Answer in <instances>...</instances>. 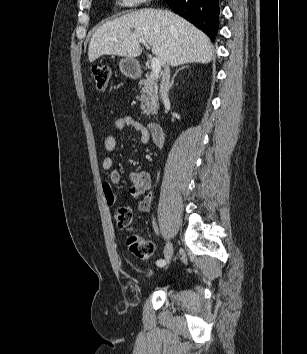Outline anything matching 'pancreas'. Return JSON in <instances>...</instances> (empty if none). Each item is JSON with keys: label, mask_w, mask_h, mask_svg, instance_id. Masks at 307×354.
Returning <instances> with one entry per match:
<instances>
[{"label": "pancreas", "mask_w": 307, "mask_h": 354, "mask_svg": "<svg viewBox=\"0 0 307 354\" xmlns=\"http://www.w3.org/2000/svg\"><path fill=\"white\" fill-rule=\"evenodd\" d=\"M142 87L141 92V109L143 115L154 114L157 108L158 96H157V83L155 76L148 75L145 79L139 82Z\"/></svg>", "instance_id": "cf45deb5"}]
</instances>
